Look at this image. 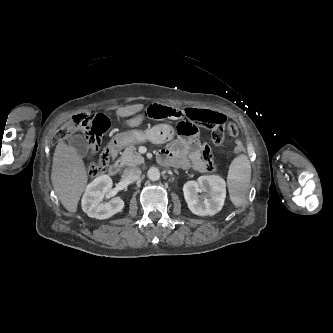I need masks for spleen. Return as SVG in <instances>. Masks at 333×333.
I'll return each mask as SVG.
<instances>
[{"label": "spleen", "instance_id": "1", "mask_svg": "<svg viewBox=\"0 0 333 333\" xmlns=\"http://www.w3.org/2000/svg\"><path fill=\"white\" fill-rule=\"evenodd\" d=\"M251 165L247 155L241 154L232 161L227 176L230 199L235 207L244 204L250 187Z\"/></svg>", "mask_w": 333, "mask_h": 333}]
</instances>
